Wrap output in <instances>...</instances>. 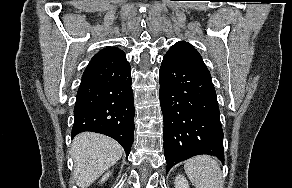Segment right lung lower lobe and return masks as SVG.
<instances>
[{"mask_svg":"<svg viewBox=\"0 0 292 188\" xmlns=\"http://www.w3.org/2000/svg\"><path fill=\"white\" fill-rule=\"evenodd\" d=\"M131 68L124 53L91 59L77 92L72 137L84 131L117 140L127 156L134 140Z\"/></svg>","mask_w":292,"mask_h":188,"instance_id":"98d812e1","label":"right lung lower lobe"}]
</instances>
